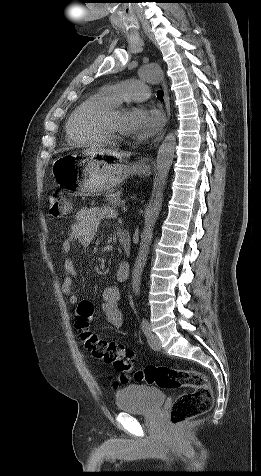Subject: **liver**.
<instances>
[{
	"instance_id": "6515ba94",
	"label": "liver",
	"mask_w": 261,
	"mask_h": 476,
	"mask_svg": "<svg viewBox=\"0 0 261 476\" xmlns=\"http://www.w3.org/2000/svg\"><path fill=\"white\" fill-rule=\"evenodd\" d=\"M84 153L107 155V156H112L120 160H122L125 157H128V155L123 152H118V151L110 150V149H104V148H100L96 146H92L89 149H86Z\"/></svg>"
}]
</instances>
